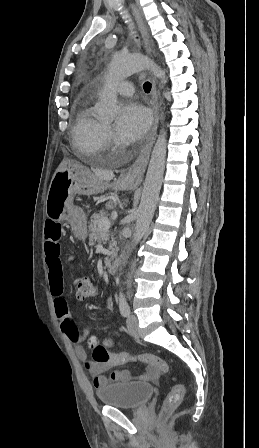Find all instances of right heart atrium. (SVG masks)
<instances>
[{"label": "right heart atrium", "mask_w": 259, "mask_h": 448, "mask_svg": "<svg viewBox=\"0 0 259 448\" xmlns=\"http://www.w3.org/2000/svg\"><path fill=\"white\" fill-rule=\"evenodd\" d=\"M102 141H103V148L105 151L114 150L119 145L116 135L109 127L104 128Z\"/></svg>", "instance_id": "obj_1"}]
</instances>
